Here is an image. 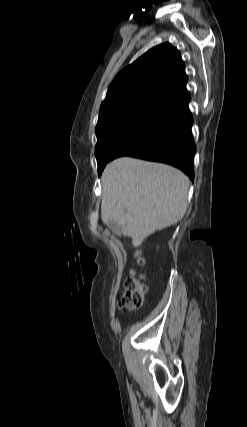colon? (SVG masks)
I'll return each mask as SVG.
<instances>
[{
    "label": "colon",
    "instance_id": "obj_1",
    "mask_svg": "<svg viewBox=\"0 0 247 427\" xmlns=\"http://www.w3.org/2000/svg\"><path fill=\"white\" fill-rule=\"evenodd\" d=\"M134 260L137 264L144 263L139 251L134 252ZM124 294L122 295L119 306L126 311H133L139 308L147 291V287L143 282V276L136 271H132L130 276L124 282Z\"/></svg>",
    "mask_w": 247,
    "mask_h": 427
}]
</instances>
